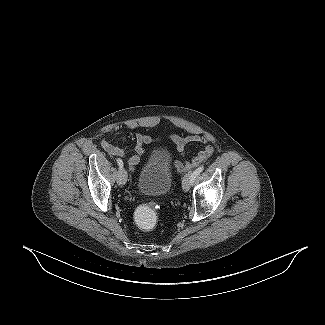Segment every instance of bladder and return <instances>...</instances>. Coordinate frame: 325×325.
<instances>
[{
	"instance_id": "obj_1",
	"label": "bladder",
	"mask_w": 325,
	"mask_h": 325,
	"mask_svg": "<svg viewBox=\"0 0 325 325\" xmlns=\"http://www.w3.org/2000/svg\"><path fill=\"white\" fill-rule=\"evenodd\" d=\"M172 155L165 147L154 148L137 175V187L145 195L164 196L173 188Z\"/></svg>"
}]
</instances>
